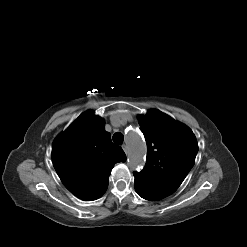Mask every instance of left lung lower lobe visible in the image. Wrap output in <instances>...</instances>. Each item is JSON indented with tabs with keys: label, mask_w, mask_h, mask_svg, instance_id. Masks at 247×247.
I'll list each match as a JSON object with an SVG mask.
<instances>
[{
	"label": "left lung lower lobe",
	"mask_w": 247,
	"mask_h": 247,
	"mask_svg": "<svg viewBox=\"0 0 247 247\" xmlns=\"http://www.w3.org/2000/svg\"><path fill=\"white\" fill-rule=\"evenodd\" d=\"M134 186H135V190H136L137 194L146 200L157 201V200L162 199L160 196L147 190L142 184H140L136 180L134 182Z\"/></svg>",
	"instance_id": "0a47b994"
}]
</instances>
